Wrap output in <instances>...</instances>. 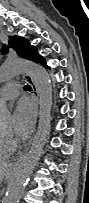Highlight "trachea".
<instances>
[{
    "label": "trachea",
    "instance_id": "3493384b",
    "mask_svg": "<svg viewBox=\"0 0 89 203\" xmlns=\"http://www.w3.org/2000/svg\"><path fill=\"white\" fill-rule=\"evenodd\" d=\"M24 89L27 90V91H32V88L29 85L24 86Z\"/></svg>",
    "mask_w": 89,
    "mask_h": 203
}]
</instances>
